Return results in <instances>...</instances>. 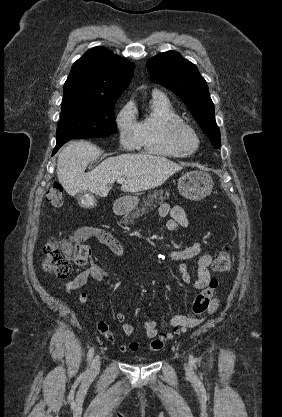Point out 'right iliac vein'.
I'll return each mask as SVG.
<instances>
[{"label":"right iliac vein","instance_id":"obj_1","mask_svg":"<svg viewBox=\"0 0 282 417\" xmlns=\"http://www.w3.org/2000/svg\"><path fill=\"white\" fill-rule=\"evenodd\" d=\"M100 364H101L100 356L96 355L94 359L92 360L91 369H90L91 374H96L99 371Z\"/></svg>","mask_w":282,"mask_h":417}]
</instances>
